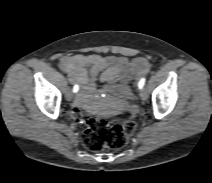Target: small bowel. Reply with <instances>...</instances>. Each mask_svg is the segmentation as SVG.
<instances>
[{"mask_svg":"<svg viewBox=\"0 0 212 183\" xmlns=\"http://www.w3.org/2000/svg\"><path fill=\"white\" fill-rule=\"evenodd\" d=\"M61 68L71 81L80 85L73 103L78 109L88 104L98 76L102 83L135 82L149 72L150 63L144 57L128 59L120 55L76 54L62 57Z\"/></svg>","mask_w":212,"mask_h":183,"instance_id":"obj_1","label":"small bowel"}]
</instances>
